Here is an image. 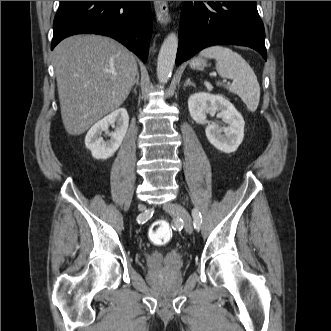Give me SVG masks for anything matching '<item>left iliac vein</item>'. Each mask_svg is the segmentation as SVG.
Wrapping results in <instances>:
<instances>
[{
    "mask_svg": "<svg viewBox=\"0 0 331 331\" xmlns=\"http://www.w3.org/2000/svg\"><path fill=\"white\" fill-rule=\"evenodd\" d=\"M164 209L179 217L183 223L185 231L189 234L193 232V221L189 212L181 205L177 203L167 202L164 204Z\"/></svg>",
    "mask_w": 331,
    "mask_h": 331,
    "instance_id": "left-iliac-vein-1",
    "label": "left iliac vein"
}]
</instances>
